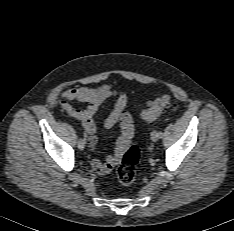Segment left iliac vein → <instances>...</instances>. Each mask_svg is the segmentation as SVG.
I'll return each mask as SVG.
<instances>
[{"label":"left iliac vein","instance_id":"obj_1","mask_svg":"<svg viewBox=\"0 0 234 231\" xmlns=\"http://www.w3.org/2000/svg\"><path fill=\"white\" fill-rule=\"evenodd\" d=\"M159 139V135H158V132L157 131H152L151 132V140L156 142L157 140Z\"/></svg>","mask_w":234,"mask_h":231}]
</instances>
